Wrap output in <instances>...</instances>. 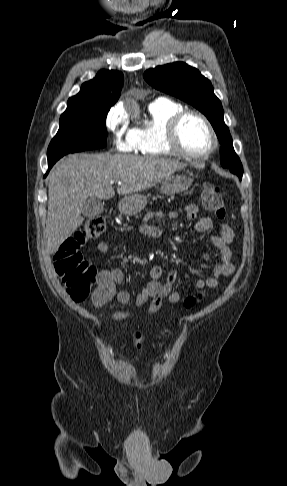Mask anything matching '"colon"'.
Masks as SVG:
<instances>
[{
	"label": "colon",
	"instance_id": "1",
	"mask_svg": "<svg viewBox=\"0 0 287 486\" xmlns=\"http://www.w3.org/2000/svg\"><path fill=\"white\" fill-rule=\"evenodd\" d=\"M202 204L206 210L216 218L223 219L226 216L225 204L220 189L211 183H204L201 193ZM106 229V221L101 216L88 219L83 228L74 236L65 240L54 256V268L65 285L69 296L77 302L86 300L97 279V269L84 259L80 248L91 239L100 237ZM201 297L189 296L185 299L184 305L187 308L193 307ZM165 333L162 337H165ZM144 340L142 333L134 335V342L141 347Z\"/></svg>",
	"mask_w": 287,
	"mask_h": 486
}]
</instances>
